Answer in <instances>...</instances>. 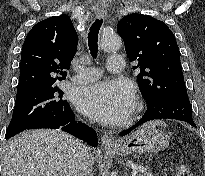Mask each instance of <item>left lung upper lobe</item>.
I'll list each match as a JSON object with an SVG mask.
<instances>
[{
  "label": "left lung upper lobe",
  "instance_id": "5c2ea615",
  "mask_svg": "<svg viewBox=\"0 0 205 176\" xmlns=\"http://www.w3.org/2000/svg\"><path fill=\"white\" fill-rule=\"evenodd\" d=\"M117 32L130 61H139L138 82L147 102L171 89H186L179 48L164 22L134 13L120 20Z\"/></svg>",
  "mask_w": 205,
  "mask_h": 176
}]
</instances>
